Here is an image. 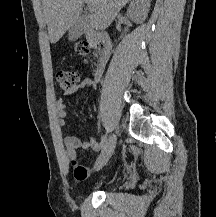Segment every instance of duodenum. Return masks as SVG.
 I'll list each match as a JSON object with an SVG mask.
<instances>
[{"instance_id": "duodenum-1", "label": "duodenum", "mask_w": 216, "mask_h": 217, "mask_svg": "<svg viewBox=\"0 0 216 217\" xmlns=\"http://www.w3.org/2000/svg\"><path fill=\"white\" fill-rule=\"evenodd\" d=\"M86 37L90 43L103 46L101 53L98 55V66L95 69L94 73H97L100 70L103 71L110 53L111 44L109 36L104 32H100L94 29H88L86 31Z\"/></svg>"}]
</instances>
